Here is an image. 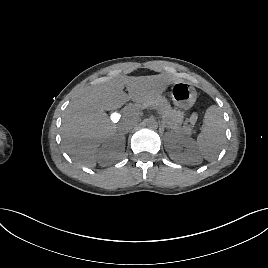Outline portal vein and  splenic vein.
I'll return each instance as SVG.
<instances>
[{
    "mask_svg": "<svg viewBox=\"0 0 268 268\" xmlns=\"http://www.w3.org/2000/svg\"><path fill=\"white\" fill-rule=\"evenodd\" d=\"M112 119H113L114 122H117L118 121V116L116 114H113Z\"/></svg>",
    "mask_w": 268,
    "mask_h": 268,
    "instance_id": "portal-vein-and-splenic-vein-1",
    "label": "portal vein and splenic vein"
}]
</instances>
